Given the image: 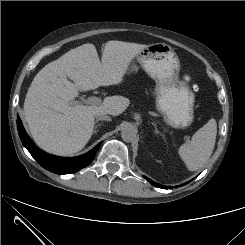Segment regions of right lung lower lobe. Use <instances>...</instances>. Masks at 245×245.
Listing matches in <instances>:
<instances>
[{
    "instance_id": "obj_1",
    "label": "right lung lower lobe",
    "mask_w": 245,
    "mask_h": 245,
    "mask_svg": "<svg viewBox=\"0 0 245 245\" xmlns=\"http://www.w3.org/2000/svg\"><path fill=\"white\" fill-rule=\"evenodd\" d=\"M17 128L24 147L43 168L56 174H69L86 167L94 159L95 153L101 145L99 143L91 151L82 156L62 158L48 154L37 148L26 133L19 116H17Z\"/></svg>"
}]
</instances>
